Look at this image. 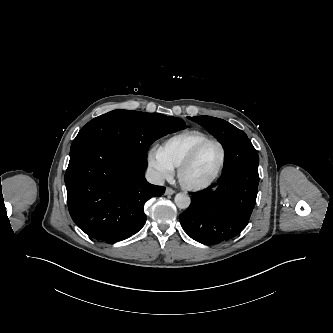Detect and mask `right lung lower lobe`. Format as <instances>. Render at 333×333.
<instances>
[{"label":"right lung lower lobe","instance_id":"obj_1","mask_svg":"<svg viewBox=\"0 0 333 333\" xmlns=\"http://www.w3.org/2000/svg\"><path fill=\"white\" fill-rule=\"evenodd\" d=\"M147 165L98 141L71 146L65 184L76 225L103 241H121L137 233L147 219L145 202L165 192L146 181Z\"/></svg>","mask_w":333,"mask_h":333}]
</instances>
